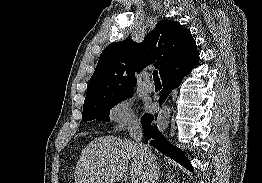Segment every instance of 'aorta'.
<instances>
[{"label": "aorta", "mask_w": 262, "mask_h": 183, "mask_svg": "<svg viewBox=\"0 0 262 183\" xmlns=\"http://www.w3.org/2000/svg\"><path fill=\"white\" fill-rule=\"evenodd\" d=\"M170 110L168 106H164L158 114L157 126L162 132L166 130L169 124Z\"/></svg>", "instance_id": "1"}]
</instances>
